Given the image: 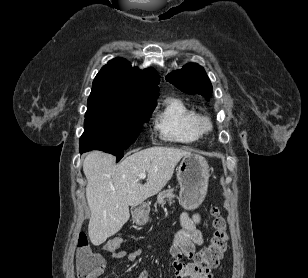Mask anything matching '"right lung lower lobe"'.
<instances>
[{"label": "right lung lower lobe", "mask_w": 308, "mask_h": 278, "mask_svg": "<svg viewBox=\"0 0 308 278\" xmlns=\"http://www.w3.org/2000/svg\"><path fill=\"white\" fill-rule=\"evenodd\" d=\"M85 151H80V153L82 154V153H84Z\"/></svg>", "instance_id": "1"}]
</instances>
